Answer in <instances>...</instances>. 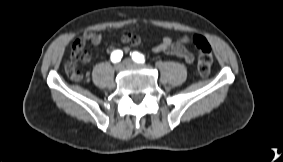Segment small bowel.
<instances>
[{
	"mask_svg": "<svg viewBox=\"0 0 283 162\" xmlns=\"http://www.w3.org/2000/svg\"><path fill=\"white\" fill-rule=\"evenodd\" d=\"M103 35L99 31H86L80 38L75 40L72 45L71 54L69 61L65 64V70L70 76V71H77L76 65L78 62L89 63L91 60V55L83 51L84 46L87 42L93 45H98L102 42ZM121 41L125 44H130L132 46H137L140 44V37L130 31H125L121 34ZM190 39L183 36L179 39H172L171 37H164L154 48L153 52L165 53L169 55H174L185 60V62L191 65L194 62V55L186 48V44ZM108 51H111L109 49ZM71 77V76H70ZM72 78V77H71Z\"/></svg>",
	"mask_w": 283,
	"mask_h": 162,
	"instance_id": "1",
	"label": "small bowel"
}]
</instances>
